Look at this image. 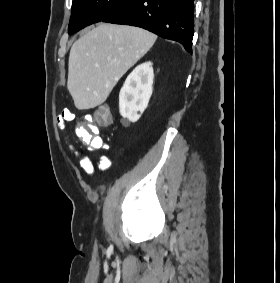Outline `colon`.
<instances>
[{
    "instance_id": "1",
    "label": "colon",
    "mask_w": 280,
    "mask_h": 283,
    "mask_svg": "<svg viewBox=\"0 0 280 283\" xmlns=\"http://www.w3.org/2000/svg\"><path fill=\"white\" fill-rule=\"evenodd\" d=\"M83 119H94V111L90 110L89 114H83ZM95 121L100 127H110L113 124L112 110H108V107H97ZM92 132H97V127H87L84 123L77 126V134L87 145L101 148L103 139Z\"/></svg>"
}]
</instances>
